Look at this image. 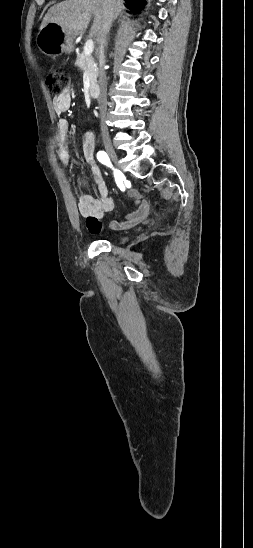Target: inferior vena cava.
I'll return each instance as SVG.
<instances>
[{"label": "inferior vena cava", "instance_id": "1", "mask_svg": "<svg viewBox=\"0 0 253 548\" xmlns=\"http://www.w3.org/2000/svg\"><path fill=\"white\" fill-rule=\"evenodd\" d=\"M117 0H104V19L100 34L98 36L99 44V86H100V96L98 98V105L100 108V114L98 118L100 121L102 137L104 140L109 139L108 129L106 127V109H107V77L105 72V56L104 51L107 45V37L111 28V24L115 15L117 13Z\"/></svg>", "mask_w": 253, "mask_h": 548}]
</instances>
